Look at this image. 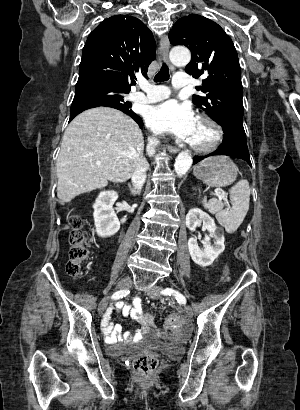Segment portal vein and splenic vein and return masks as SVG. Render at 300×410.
Segmentation results:
<instances>
[{
	"mask_svg": "<svg viewBox=\"0 0 300 410\" xmlns=\"http://www.w3.org/2000/svg\"><path fill=\"white\" fill-rule=\"evenodd\" d=\"M97 164H101V162L98 161ZM218 196L220 199H224L226 197V195L223 193H220Z\"/></svg>",
	"mask_w": 300,
	"mask_h": 410,
	"instance_id": "1",
	"label": "portal vein and splenic vein"
}]
</instances>
